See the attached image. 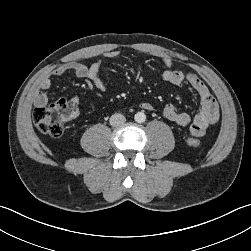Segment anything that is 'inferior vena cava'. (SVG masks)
Segmentation results:
<instances>
[{
  "label": "inferior vena cava",
  "instance_id": "602c4592",
  "mask_svg": "<svg viewBox=\"0 0 251 251\" xmlns=\"http://www.w3.org/2000/svg\"><path fill=\"white\" fill-rule=\"evenodd\" d=\"M126 121V118L124 117V115L122 114H113L111 117H110V125L111 126H120V125H123Z\"/></svg>",
  "mask_w": 251,
  "mask_h": 251
}]
</instances>
